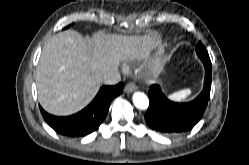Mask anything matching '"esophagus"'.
I'll list each match as a JSON object with an SVG mask.
<instances>
[{"instance_id":"1","label":"esophagus","mask_w":249,"mask_h":165,"mask_svg":"<svg viewBox=\"0 0 249 165\" xmlns=\"http://www.w3.org/2000/svg\"><path fill=\"white\" fill-rule=\"evenodd\" d=\"M136 85L132 82L130 83H127L126 86H125V92L127 93H130V92H133L134 90H136Z\"/></svg>"}]
</instances>
